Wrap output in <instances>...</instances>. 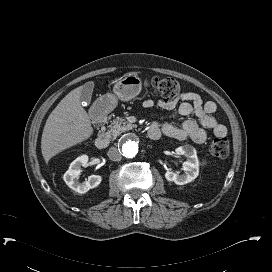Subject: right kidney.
I'll return each mask as SVG.
<instances>
[{"label":"right kidney","instance_id":"obj_1","mask_svg":"<svg viewBox=\"0 0 272 272\" xmlns=\"http://www.w3.org/2000/svg\"><path fill=\"white\" fill-rule=\"evenodd\" d=\"M88 165V156L82 155L76 158L69 166V169L65 172L63 180L65 183L74 191L84 194L90 189L97 187L101 181L102 177L100 175H91L83 183L78 181V176L81 173V167H86Z\"/></svg>","mask_w":272,"mask_h":272}]
</instances>
